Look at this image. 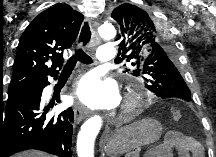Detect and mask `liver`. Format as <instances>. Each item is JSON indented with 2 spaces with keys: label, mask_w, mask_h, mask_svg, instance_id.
Instances as JSON below:
<instances>
[{
  "label": "liver",
  "mask_w": 216,
  "mask_h": 157,
  "mask_svg": "<svg viewBox=\"0 0 216 157\" xmlns=\"http://www.w3.org/2000/svg\"><path fill=\"white\" fill-rule=\"evenodd\" d=\"M14 157H50V156L49 154L41 151L29 150V151L17 153L14 155Z\"/></svg>",
  "instance_id": "liver-1"
}]
</instances>
